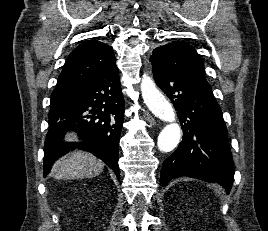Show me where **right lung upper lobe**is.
I'll return each instance as SVG.
<instances>
[{
  "label": "right lung upper lobe",
  "mask_w": 268,
  "mask_h": 231,
  "mask_svg": "<svg viewBox=\"0 0 268 231\" xmlns=\"http://www.w3.org/2000/svg\"><path fill=\"white\" fill-rule=\"evenodd\" d=\"M115 62L112 47L99 41L84 42L70 53L54 91L75 90L86 80L102 73Z\"/></svg>",
  "instance_id": "right-lung-upper-lobe-1"
}]
</instances>
